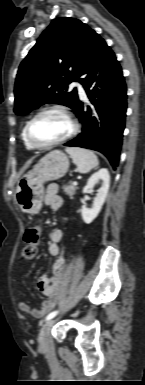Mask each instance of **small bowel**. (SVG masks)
Wrapping results in <instances>:
<instances>
[{
  "instance_id": "1",
  "label": "small bowel",
  "mask_w": 145,
  "mask_h": 385,
  "mask_svg": "<svg viewBox=\"0 0 145 385\" xmlns=\"http://www.w3.org/2000/svg\"><path fill=\"white\" fill-rule=\"evenodd\" d=\"M58 187L56 184H50L47 187L43 198L45 205L53 210L62 207L63 200L57 194ZM63 239V231L61 229H54L50 236L49 252L52 256H59L62 252L61 241ZM62 261L65 264L63 257H59L55 263ZM54 263V264H55ZM54 266V265H53ZM63 273V271H62ZM62 273L57 274L53 272V276L41 275L37 281L39 291L47 298L43 301L41 308L30 306L25 301H19L18 306L22 312L27 313L32 318L39 319L50 312L56 304L57 298L62 290Z\"/></svg>"
}]
</instances>
